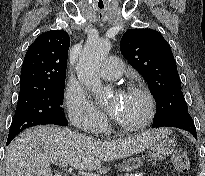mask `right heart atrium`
Instances as JSON below:
<instances>
[{
  "label": "right heart atrium",
  "mask_w": 205,
  "mask_h": 176,
  "mask_svg": "<svg viewBox=\"0 0 205 176\" xmlns=\"http://www.w3.org/2000/svg\"><path fill=\"white\" fill-rule=\"evenodd\" d=\"M65 104L71 122L78 128L93 130L105 121L104 115L77 88L68 89L65 95Z\"/></svg>",
  "instance_id": "obj_1"
}]
</instances>
